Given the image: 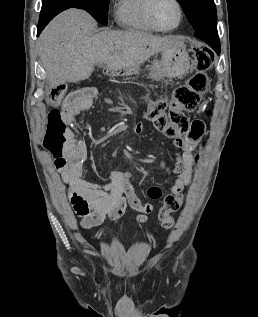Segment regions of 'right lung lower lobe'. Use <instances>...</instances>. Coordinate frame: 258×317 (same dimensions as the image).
I'll return each mask as SVG.
<instances>
[{"mask_svg": "<svg viewBox=\"0 0 258 317\" xmlns=\"http://www.w3.org/2000/svg\"><path fill=\"white\" fill-rule=\"evenodd\" d=\"M69 8L83 9L93 16V9L89 6L88 0H43L37 36L57 14Z\"/></svg>", "mask_w": 258, "mask_h": 317, "instance_id": "obj_1", "label": "right lung lower lobe"}]
</instances>
